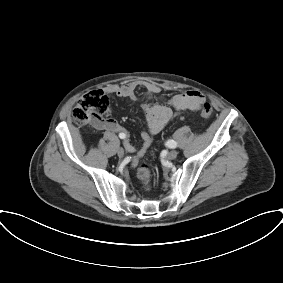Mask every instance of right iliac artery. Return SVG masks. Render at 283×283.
I'll return each mask as SVG.
<instances>
[{
	"label": "right iliac artery",
	"mask_w": 283,
	"mask_h": 283,
	"mask_svg": "<svg viewBox=\"0 0 283 283\" xmlns=\"http://www.w3.org/2000/svg\"><path fill=\"white\" fill-rule=\"evenodd\" d=\"M119 137H120L121 139H124V138L126 137V135H125L124 133H120V134H119Z\"/></svg>",
	"instance_id": "1"
}]
</instances>
